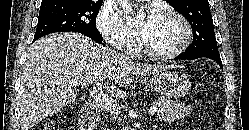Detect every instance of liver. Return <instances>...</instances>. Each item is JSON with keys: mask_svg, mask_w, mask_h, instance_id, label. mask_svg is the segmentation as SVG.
Wrapping results in <instances>:
<instances>
[{"mask_svg": "<svg viewBox=\"0 0 249 130\" xmlns=\"http://www.w3.org/2000/svg\"><path fill=\"white\" fill-rule=\"evenodd\" d=\"M79 33H55L37 40L30 48L23 68L19 89L21 130H30L76 99V87L99 84L111 97L122 98L121 88L133 82L134 76L155 75L168 67L147 65L121 59Z\"/></svg>", "mask_w": 249, "mask_h": 130, "instance_id": "1", "label": "liver"}]
</instances>
